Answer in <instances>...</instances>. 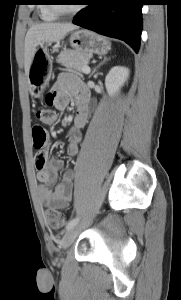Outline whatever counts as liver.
Instances as JSON below:
<instances>
[{"mask_svg":"<svg viewBox=\"0 0 181 300\" xmlns=\"http://www.w3.org/2000/svg\"><path fill=\"white\" fill-rule=\"evenodd\" d=\"M78 26L71 23H40L31 26L25 37L24 68L28 76L31 67L35 47L39 43L59 42L66 34L77 29Z\"/></svg>","mask_w":181,"mask_h":300,"instance_id":"obj_1","label":"liver"}]
</instances>
